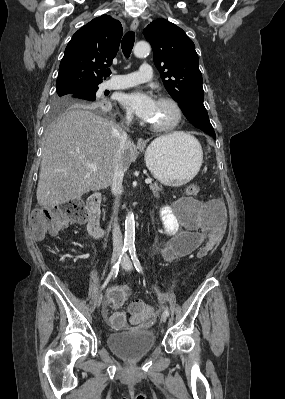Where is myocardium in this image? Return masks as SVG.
I'll use <instances>...</instances> for the list:
<instances>
[{
  "label": "myocardium",
  "instance_id": "myocardium-1",
  "mask_svg": "<svg viewBox=\"0 0 285 399\" xmlns=\"http://www.w3.org/2000/svg\"><path fill=\"white\" fill-rule=\"evenodd\" d=\"M158 101L168 103L169 105L172 106L176 115L175 119L171 123L165 125H155L150 123L149 126L151 129L159 132L170 131L174 129L181 122L183 117L182 107L177 100L167 95L160 96Z\"/></svg>",
  "mask_w": 285,
  "mask_h": 399
}]
</instances>
